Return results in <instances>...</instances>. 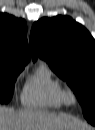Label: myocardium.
<instances>
[{"mask_svg": "<svg viewBox=\"0 0 95 130\" xmlns=\"http://www.w3.org/2000/svg\"><path fill=\"white\" fill-rule=\"evenodd\" d=\"M63 99L67 105L73 106L78 103V95L73 89H64Z\"/></svg>", "mask_w": 95, "mask_h": 130, "instance_id": "myocardium-1", "label": "myocardium"}]
</instances>
